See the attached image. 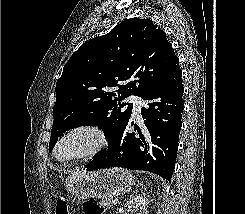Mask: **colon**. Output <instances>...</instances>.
<instances>
[{
	"label": "colon",
	"instance_id": "obj_1",
	"mask_svg": "<svg viewBox=\"0 0 245 214\" xmlns=\"http://www.w3.org/2000/svg\"><path fill=\"white\" fill-rule=\"evenodd\" d=\"M56 214H68V206L66 199L60 197L56 203ZM83 211L85 214H103V208L94 201H86L83 204Z\"/></svg>",
	"mask_w": 245,
	"mask_h": 214
}]
</instances>
